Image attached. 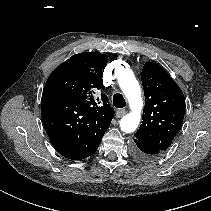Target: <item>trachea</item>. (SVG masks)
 <instances>
[{
  "mask_svg": "<svg viewBox=\"0 0 211 211\" xmlns=\"http://www.w3.org/2000/svg\"><path fill=\"white\" fill-rule=\"evenodd\" d=\"M113 105L116 108H123L126 106V101H125L124 97L122 96V94H120V93L114 94Z\"/></svg>",
  "mask_w": 211,
  "mask_h": 211,
  "instance_id": "1",
  "label": "trachea"
}]
</instances>
